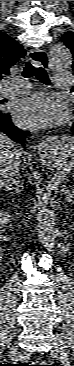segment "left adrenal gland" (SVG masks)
<instances>
[{
    "mask_svg": "<svg viewBox=\"0 0 74 366\" xmlns=\"http://www.w3.org/2000/svg\"><path fill=\"white\" fill-rule=\"evenodd\" d=\"M65 193H67V194H68L67 198H69V194H70V193L68 192V190H66V191H65Z\"/></svg>",
    "mask_w": 74,
    "mask_h": 366,
    "instance_id": "1",
    "label": "left adrenal gland"
}]
</instances>
